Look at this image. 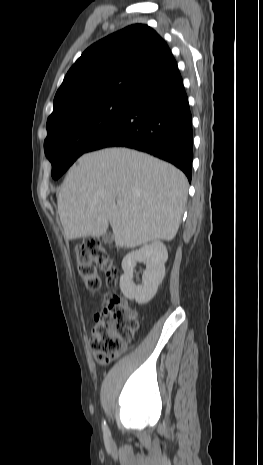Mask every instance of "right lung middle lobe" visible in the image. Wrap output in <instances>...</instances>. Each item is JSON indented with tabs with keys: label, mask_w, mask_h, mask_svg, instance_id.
I'll list each match as a JSON object with an SVG mask.
<instances>
[{
	"label": "right lung middle lobe",
	"mask_w": 263,
	"mask_h": 465,
	"mask_svg": "<svg viewBox=\"0 0 263 465\" xmlns=\"http://www.w3.org/2000/svg\"><path fill=\"white\" fill-rule=\"evenodd\" d=\"M132 97L94 100L47 121L44 150L58 179L83 153L106 134L127 112Z\"/></svg>",
	"instance_id": "1"
}]
</instances>
